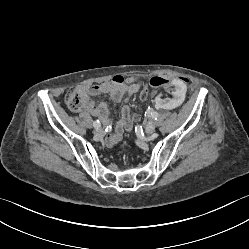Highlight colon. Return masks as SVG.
Listing matches in <instances>:
<instances>
[{
    "instance_id": "colon-1",
    "label": "colon",
    "mask_w": 249,
    "mask_h": 249,
    "mask_svg": "<svg viewBox=\"0 0 249 249\" xmlns=\"http://www.w3.org/2000/svg\"><path fill=\"white\" fill-rule=\"evenodd\" d=\"M167 79L162 76H154L150 80V85L152 87H159L167 83ZM148 95L147 91H143L140 94V99L144 101ZM65 103L70 111L80 112L86 106V99L84 95L78 89H71L65 95ZM120 153L123 156L128 154V151L125 148L120 149Z\"/></svg>"
}]
</instances>
